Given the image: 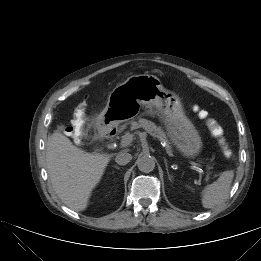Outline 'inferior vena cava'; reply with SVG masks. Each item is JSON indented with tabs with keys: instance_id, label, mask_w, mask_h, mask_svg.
<instances>
[{
	"instance_id": "602c4592",
	"label": "inferior vena cava",
	"mask_w": 261,
	"mask_h": 261,
	"mask_svg": "<svg viewBox=\"0 0 261 261\" xmlns=\"http://www.w3.org/2000/svg\"><path fill=\"white\" fill-rule=\"evenodd\" d=\"M132 159V155L128 152L122 151L116 155L115 161L119 165H126Z\"/></svg>"
}]
</instances>
